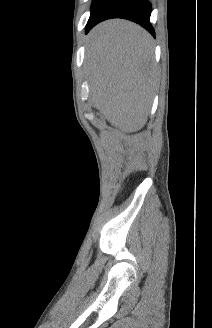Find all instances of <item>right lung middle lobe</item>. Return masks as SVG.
<instances>
[{
    "mask_svg": "<svg viewBox=\"0 0 212 328\" xmlns=\"http://www.w3.org/2000/svg\"><path fill=\"white\" fill-rule=\"evenodd\" d=\"M97 1H98V0H93V1H92L91 8L95 5V3H96Z\"/></svg>",
    "mask_w": 212,
    "mask_h": 328,
    "instance_id": "1",
    "label": "right lung middle lobe"
}]
</instances>
